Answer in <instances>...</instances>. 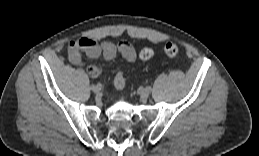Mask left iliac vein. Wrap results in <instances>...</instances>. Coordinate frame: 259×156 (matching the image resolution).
<instances>
[{
	"label": "left iliac vein",
	"mask_w": 259,
	"mask_h": 156,
	"mask_svg": "<svg viewBox=\"0 0 259 156\" xmlns=\"http://www.w3.org/2000/svg\"><path fill=\"white\" fill-rule=\"evenodd\" d=\"M149 95H150V94H149L147 88H145V89L142 90V92H141V97H142L143 99H147V98L149 97Z\"/></svg>",
	"instance_id": "4c4485c4"
}]
</instances>
